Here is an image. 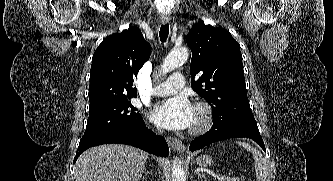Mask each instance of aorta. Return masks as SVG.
Masks as SVG:
<instances>
[{
    "instance_id": "762f6f07",
    "label": "aorta",
    "mask_w": 333,
    "mask_h": 181,
    "mask_svg": "<svg viewBox=\"0 0 333 181\" xmlns=\"http://www.w3.org/2000/svg\"><path fill=\"white\" fill-rule=\"evenodd\" d=\"M188 59V50L185 47L174 49L163 61L160 73L174 70ZM172 181H186L181 161L174 159L172 166Z\"/></svg>"
}]
</instances>
